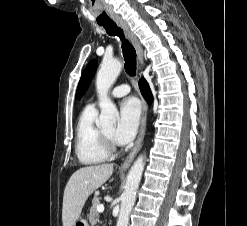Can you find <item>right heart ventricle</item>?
<instances>
[{
    "label": "right heart ventricle",
    "mask_w": 247,
    "mask_h": 226,
    "mask_svg": "<svg viewBox=\"0 0 247 226\" xmlns=\"http://www.w3.org/2000/svg\"><path fill=\"white\" fill-rule=\"evenodd\" d=\"M96 118V108L88 105L82 111L77 124L75 151L83 165L98 164L108 158L101 144V130L96 126Z\"/></svg>",
    "instance_id": "obj_1"
}]
</instances>
